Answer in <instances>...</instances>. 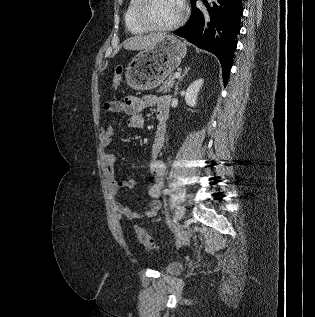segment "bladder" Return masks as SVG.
I'll return each instance as SVG.
<instances>
[{"mask_svg": "<svg viewBox=\"0 0 315 317\" xmlns=\"http://www.w3.org/2000/svg\"><path fill=\"white\" fill-rule=\"evenodd\" d=\"M183 265L179 261H172L164 267V271L169 274H175L182 270Z\"/></svg>", "mask_w": 315, "mask_h": 317, "instance_id": "31cf9c89", "label": "bladder"}]
</instances>
